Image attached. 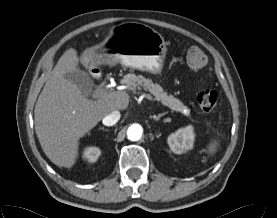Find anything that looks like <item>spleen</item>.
<instances>
[{
    "instance_id": "obj_1",
    "label": "spleen",
    "mask_w": 277,
    "mask_h": 218,
    "mask_svg": "<svg viewBox=\"0 0 277 218\" xmlns=\"http://www.w3.org/2000/svg\"><path fill=\"white\" fill-rule=\"evenodd\" d=\"M217 146H218V142L217 141H214L212 142L209 147H208V151L209 153L213 154L215 153L216 149H217Z\"/></svg>"
}]
</instances>
